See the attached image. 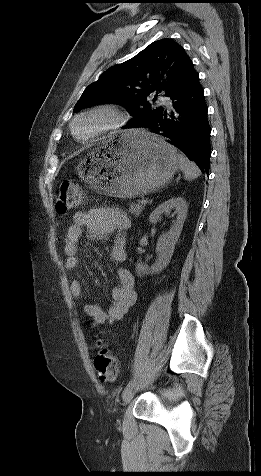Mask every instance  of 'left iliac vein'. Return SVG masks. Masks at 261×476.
I'll list each match as a JSON object with an SVG mask.
<instances>
[{
  "mask_svg": "<svg viewBox=\"0 0 261 476\" xmlns=\"http://www.w3.org/2000/svg\"><path fill=\"white\" fill-rule=\"evenodd\" d=\"M136 392L135 384L123 392V401L124 404H128L134 397Z\"/></svg>",
  "mask_w": 261,
  "mask_h": 476,
  "instance_id": "4c4485c4",
  "label": "left iliac vein"
}]
</instances>
